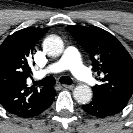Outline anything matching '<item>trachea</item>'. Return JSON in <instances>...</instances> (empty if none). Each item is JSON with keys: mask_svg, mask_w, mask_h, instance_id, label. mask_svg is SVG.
Wrapping results in <instances>:
<instances>
[{"mask_svg": "<svg viewBox=\"0 0 133 133\" xmlns=\"http://www.w3.org/2000/svg\"><path fill=\"white\" fill-rule=\"evenodd\" d=\"M59 80L62 84H67V85L72 84L71 78L67 77V76H63ZM55 82H56V80L54 77L48 76L40 81L34 82V84L38 85V86H51V85H55Z\"/></svg>", "mask_w": 133, "mask_h": 133, "instance_id": "3493384b", "label": "trachea"}]
</instances>
